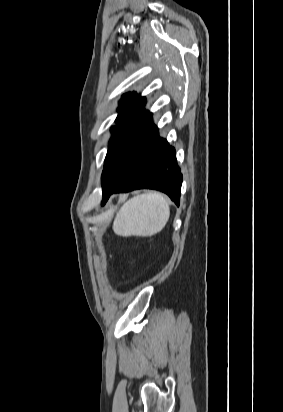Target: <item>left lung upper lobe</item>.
Wrapping results in <instances>:
<instances>
[{
	"label": "left lung upper lobe",
	"mask_w": 283,
	"mask_h": 412,
	"mask_svg": "<svg viewBox=\"0 0 283 412\" xmlns=\"http://www.w3.org/2000/svg\"><path fill=\"white\" fill-rule=\"evenodd\" d=\"M144 106V97L137 96L136 92L124 94L116 119L117 126L111 129L106 159H120L123 164L126 163L125 179L147 152L156 130L151 113L145 111Z\"/></svg>",
	"instance_id": "obj_1"
}]
</instances>
